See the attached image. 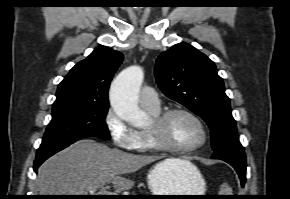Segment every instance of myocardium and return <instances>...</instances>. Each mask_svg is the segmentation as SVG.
<instances>
[{
    "mask_svg": "<svg viewBox=\"0 0 290 199\" xmlns=\"http://www.w3.org/2000/svg\"><path fill=\"white\" fill-rule=\"evenodd\" d=\"M175 114H184L193 119L198 124L202 133V138L199 143L188 148H180L167 143L163 139L162 136L164 133L165 125L169 120V118ZM147 132L156 150L178 155L191 154L201 149L207 143L208 140V130L202 119L193 111L183 107L170 108L162 112H159L157 115L153 116L152 126L147 129Z\"/></svg>",
    "mask_w": 290,
    "mask_h": 199,
    "instance_id": "1",
    "label": "myocardium"
}]
</instances>
